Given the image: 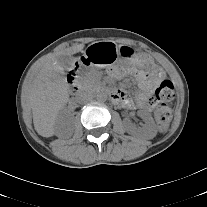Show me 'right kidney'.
Returning <instances> with one entry per match:
<instances>
[{
    "mask_svg": "<svg viewBox=\"0 0 207 207\" xmlns=\"http://www.w3.org/2000/svg\"><path fill=\"white\" fill-rule=\"evenodd\" d=\"M71 118H72L71 114L68 111L62 110L56 119V124H55L56 129L60 130L66 127L69 121L71 120Z\"/></svg>",
    "mask_w": 207,
    "mask_h": 207,
    "instance_id": "right-kidney-1",
    "label": "right kidney"
}]
</instances>
